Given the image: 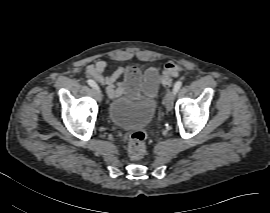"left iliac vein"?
<instances>
[{
  "instance_id": "obj_1",
  "label": "left iliac vein",
  "mask_w": 270,
  "mask_h": 213,
  "mask_svg": "<svg viewBox=\"0 0 270 213\" xmlns=\"http://www.w3.org/2000/svg\"><path fill=\"white\" fill-rule=\"evenodd\" d=\"M175 97V93L173 90H169L165 97V107L168 111L172 110L173 107V100Z\"/></svg>"
}]
</instances>
